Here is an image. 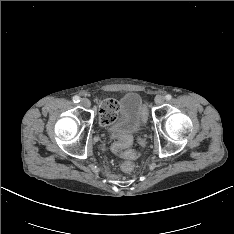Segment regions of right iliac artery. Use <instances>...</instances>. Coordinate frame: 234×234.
Returning a JSON list of instances; mask_svg holds the SVG:
<instances>
[{"instance_id":"right-iliac-artery-1","label":"right iliac artery","mask_w":234,"mask_h":234,"mask_svg":"<svg viewBox=\"0 0 234 234\" xmlns=\"http://www.w3.org/2000/svg\"><path fill=\"white\" fill-rule=\"evenodd\" d=\"M73 101H74L75 103H78V102L80 101V97H79V96H74V97H73Z\"/></svg>"}]
</instances>
